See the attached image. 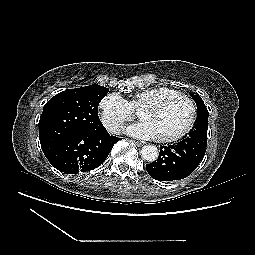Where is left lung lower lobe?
<instances>
[{"instance_id":"1","label":"left lung lower lobe","mask_w":255,"mask_h":255,"mask_svg":"<svg viewBox=\"0 0 255 255\" xmlns=\"http://www.w3.org/2000/svg\"><path fill=\"white\" fill-rule=\"evenodd\" d=\"M207 129L200 127L182 141L161 147L157 161L146 165L148 174L159 181L187 177L203 159L207 146Z\"/></svg>"}]
</instances>
